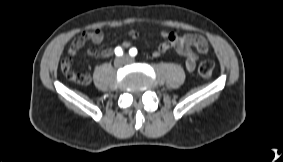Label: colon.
<instances>
[{
	"label": "colon",
	"instance_id": "1",
	"mask_svg": "<svg viewBox=\"0 0 283 162\" xmlns=\"http://www.w3.org/2000/svg\"><path fill=\"white\" fill-rule=\"evenodd\" d=\"M214 62L206 59L199 63L198 65V73L203 78H209L213 74L214 71ZM70 79L78 82L79 84H87L90 81V75L88 73H83L79 75L75 74H66Z\"/></svg>",
	"mask_w": 283,
	"mask_h": 162
}]
</instances>
